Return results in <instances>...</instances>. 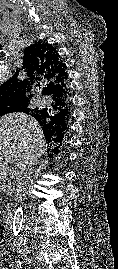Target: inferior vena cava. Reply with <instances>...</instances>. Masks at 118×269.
I'll return each mask as SVG.
<instances>
[{"instance_id":"602c4592","label":"inferior vena cava","mask_w":118,"mask_h":269,"mask_svg":"<svg viewBox=\"0 0 118 269\" xmlns=\"http://www.w3.org/2000/svg\"><path fill=\"white\" fill-rule=\"evenodd\" d=\"M34 164L32 161H23L18 165V170L15 173L16 201L18 205L22 204V194L33 174Z\"/></svg>"}]
</instances>
